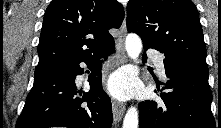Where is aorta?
Listing matches in <instances>:
<instances>
[{"label": "aorta", "mask_w": 221, "mask_h": 128, "mask_svg": "<svg viewBox=\"0 0 221 128\" xmlns=\"http://www.w3.org/2000/svg\"><path fill=\"white\" fill-rule=\"evenodd\" d=\"M126 51L129 57L133 60H137L141 50L142 41L137 34L130 33L126 37ZM138 110L135 106L128 108L123 121V128H138Z\"/></svg>", "instance_id": "aorta-1"}]
</instances>
